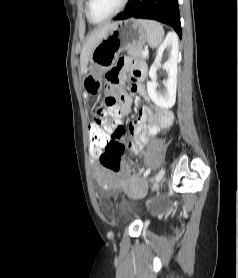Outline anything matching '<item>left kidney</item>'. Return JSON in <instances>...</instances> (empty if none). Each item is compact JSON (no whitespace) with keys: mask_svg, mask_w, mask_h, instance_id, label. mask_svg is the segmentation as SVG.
Masks as SVG:
<instances>
[{"mask_svg":"<svg viewBox=\"0 0 238 278\" xmlns=\"http://www.w3.org/2000/svg\"><path fill=\"white\" fill-rule=\"evenodd\" d=\"M178 50V39L176 35L169 33L157 49L154 62L149 71L151 81L147 83L148 95L157 106L164 109L172 108L176 100ZM164 53L168 56V59L162 67L167 72L168 78L164 82L166 90L161 93L156 90V71L161 66V59Z\"/></svg>","mask_w":238,"mask_h":278,"instance_id":"left-kidney-1","label":"left kidney"}]
</instances>
